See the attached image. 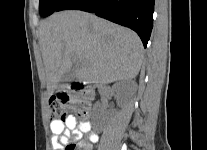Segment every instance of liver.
<instances>
[{"label": "liver", "mask_w": 207, "mask_h": 150, "mask_svg": "<svg viewBox=\"0 0 207 150\" xmlns=\"http://www.w3.org/2000/svg\"><path fill=\"white\" fill-rule=\"evenodd\" d=\"M39 33L48 96L74 64L76 79L97 85L130 80L140 71L143 45L138 35L94 15L58 12L41 23Z\"/></svg>", "instance_id": "liver-1"}]
</instances>
